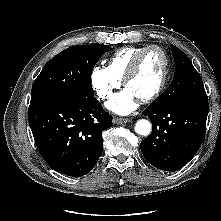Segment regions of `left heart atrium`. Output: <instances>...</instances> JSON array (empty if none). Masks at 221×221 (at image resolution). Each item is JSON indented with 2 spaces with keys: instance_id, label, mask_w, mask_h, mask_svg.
<instances>
[{
  "instance_id": "obj_1",
  "label": "left heart atrium",
  "mask_w": 221,
  "mask_h": 221,
  "mask_svg": "<svg viewBox=\"0 0 221 221\" xmlns=\"http://www.w3.org/2000/svg\"><path fill=\"white\" fill-rule=\"evenodd\" d=\"M137 100L135 95L128 88H125L114 95L106 106L117 114L125 115L137 107Z\"/></svg>"
}]
</instances>
